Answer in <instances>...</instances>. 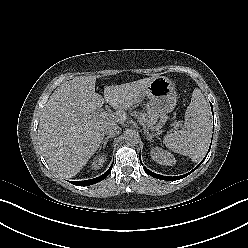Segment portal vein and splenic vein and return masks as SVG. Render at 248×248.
Returning a JSON list of instances; mask_svg holds the SVG:
<instances>
[{"label":"portal vein and splenic vein","mask_w":248,"mask_h":248,"mask_svg":"<svg viewBox=\"0 0 248 248\" xmlns=\"http://www.w3.org/2000/svg\"><path fill=\"white\" fill-rule=\"evenodd\" d=\"M102 116L107 117L109 115H107V113H105V112H102ZM137 119H138L139 123L144 126V122L139 117ZM176 127H178V125H176Z\"/></svg>","instance_id":"obj_1"}]
</instances>
